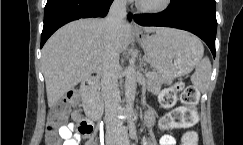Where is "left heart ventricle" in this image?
Here are the masks:
<instances>
[{"mask_svg": "<svg viewBox=\"0 0 243 145\" xmlns=\"http://www.w3.org/2000/svg\"><path fill=\"white\" fill-rule=\"evenodd\" d=\"M142 4L147 6L159 5L163 0H139Z\"/></svg>", "mask_w": 243, "mask_h": 145, "instance_id": "obj_1", "label": "left heart ventricle"}]
</instances>
